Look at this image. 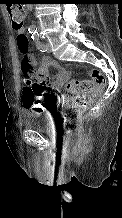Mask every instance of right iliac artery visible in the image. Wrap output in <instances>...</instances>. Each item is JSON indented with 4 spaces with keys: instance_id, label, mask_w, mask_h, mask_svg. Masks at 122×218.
<instances>
[{
    "instance_id": "obj_1",
    "label": "right iliac artery",
    "mask_w": 122,
    "mask_h": 218,
    "mask_svg": "<svg viewBox=\"0 0 122 218\" xmlns=\"http://www.w3.org/2000/svg\"><path fill=\"white\" fill-rule=\"evenodd\" d=\"M29 32L33 34V33H35V32H36V30H34V29H31V30H29Z\"/></svg>"
}]
</instances>
